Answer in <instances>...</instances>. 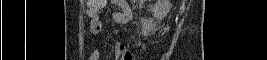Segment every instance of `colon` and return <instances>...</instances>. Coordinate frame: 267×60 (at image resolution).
Masks as SVG:
<instances>
[{"label": "colon", "instance_id": "colon-1", "mask_svg": "<svg viewBox=\"0 0 267 60\" xmlns=\"http://www.w3.org/2000/svg\"><path fill=\"white\" fill-rule=\"evenodd\" d=\"M90 1L93 4L94 10H97L98 8H100L102 6V4L104 3L101 0H90Z\"/></svg>", "mask_w": 267, "mask_h": 60}]
</instances>
